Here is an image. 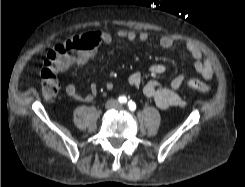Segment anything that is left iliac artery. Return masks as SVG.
<instances>
[{
  "label": "left iliac artery",
  "instance_id": "44dca946",
  "mask_svg": "<svg viewBox=\"0 0 245 187\" xmlns=\"http://www.w3.org/2000/svg\"><path fill=\"white\" fill-rule=\"evenodd\" d=\"M128 108L131 111H134L136 109V104L131 100V101L128 102Z\"/></svg>",
  "mask_w": 245,
  "mask_h": 187
}]
</instances>
